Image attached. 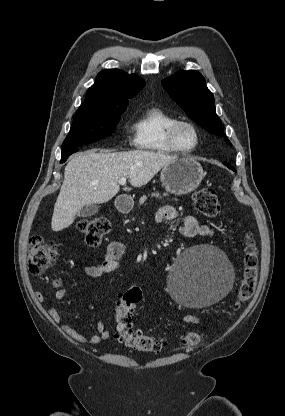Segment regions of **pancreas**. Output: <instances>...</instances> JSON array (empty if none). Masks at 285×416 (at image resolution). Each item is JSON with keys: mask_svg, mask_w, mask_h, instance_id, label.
Here are the masks:
<instances>
[{"mask_svg": "<svg viewBox=\"0 0 285 416\" xmlns=\"http://www.w3.org/2000/svg\"><path fill=\"white\" fill-rule=\"evenodd\" d=\"M152 198H161L160 194L158 192H154V194H151ZM163 196H168V194H163ZM145 200H147V196H142V198H139V206H142L144 204ZM176 200V198H174Z\"/></svg>", "mask_w": 285, "mask_h": 416, "instance_id": "cf45deb5", "label": "pancreas"}]
</instances>
